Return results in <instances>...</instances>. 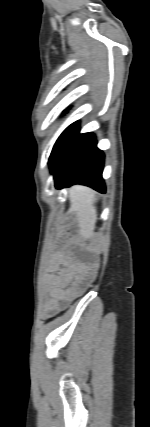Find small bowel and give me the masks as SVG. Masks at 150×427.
<instances>
[{
    "instance_id": "obj_1",
    "label": "small bowel",
    "mask_w": 150,
    "mask_h": 427,
    "mask_svg": "<svg viewBox=\"0 0 150 427\" xmlns=\"http://www.w3.org/2000/svg\"><path fill=\"white\" fill-rule=\"evenodd\" d=\"M71 279L69 274L50 277L48 285L49 299L47 301L49 313L59 311L77 293L78 285H71Z\"/></svg>"
}]
</instances>
